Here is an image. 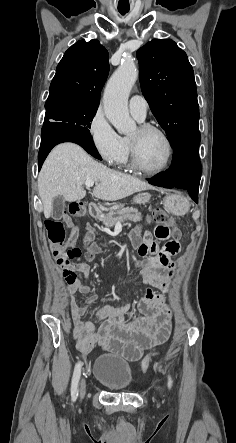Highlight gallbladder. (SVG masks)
<instances>
[{
  "label": "gallbladder",
  "instance_id": "1",
  "mask_svg": "<svg viewBox=\"0 0 236 443\" xmlns=\"http://www.w3.org/2000/svg\"><path fill=\"white\" fill-rule=\"evenodd\" d=\"M65 208V200L62 196H57L52 202V212L51 216L53 219L58 220L62 218Z\"/></svg>",
  "mask_w": 236,
  "mask_h": 443
}]
</instances>
